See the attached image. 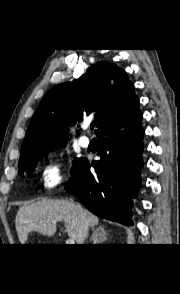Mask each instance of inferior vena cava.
<instances>
[{"label":"inferior vena cava","mask_w":180,"mask_h":294,"mask_svg":"<svg viewBox=\"0 0 180 294\" xmlns=\"http://www.w3.org/2000/svg\"><path fill=\"white\" fill-rule=\"evenodd\" d=\"M89 224L86 219H84V237L88 236Z\"/></svg>","instance_id":"obj_1"}]
</instances>
